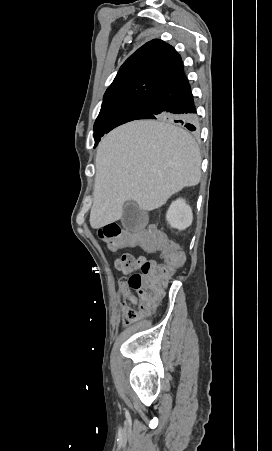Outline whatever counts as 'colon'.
<instances>
[{"instance_id": "1", "label": "colon", "mask_w": 272, "mask_h": 451, "mask_svg": "<svg viewBox=\"0 0 272 451\" xmlns=\"http://www.w3.org/2000/svg\"><path fill=\"white\" fill-rule=\"evenodd\" d=\"M98 238L107 243L109 249L134 250L147 249L148 256L165 254L164 264L158 267L157 260L135 257L130 252H122L120 258L114 260V265L122 270L135 271L127 282L128 289H138L135 303H143L144 310H153L154 303L161 297V289L170 283L174 267L180 268V260L186 259V252L182 247H172L167 235L161 230H126L116 222H109L97 231ZM163 249V250H162ZM126 324H130L137 317L134 309L125 311Z\"/></svg>"}]
</instances>
